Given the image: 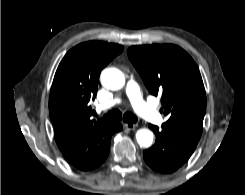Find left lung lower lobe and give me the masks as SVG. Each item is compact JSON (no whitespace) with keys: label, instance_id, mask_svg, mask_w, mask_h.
Masks as SVG:
<instances>
[{"label":"left lung lower lobe","instance_id":"0a47b994","mask_svg":"<svg viewBox=\"0 0 245 195\" xmlns=\"http://www.w3.org/2000/svg\"><path fill=\"white\" fill-rule=\"evenodd\" d=\"M157 141L155 145L144 151L146 163L160 173H172L181 167L194 152L199 136L169 125L157 126L149 124Z\"/></svg>","mask_w":245,"mask_h":195}]
</instances>
